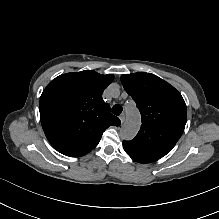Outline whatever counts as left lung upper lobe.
Masks as SVG:
<instances>
[{
    "mask_svg": "<svg viewBox=\"0 0 219 219\" xmlns=\"http://www.w3.org/2000/svg\"><path fill=\"white\" fill-rule=\"evenodd\" d=\"M121 81L142 118L136 137L123 141L124 150L136 162H155L175 146L184 131V99L168 82L151 73L124 74Z\"/></svg>",
    "mask_w": 219,
    "mask_h": 219,
    "instance_id": "left-lung-upper-lobe-1",
    "label": "left lung upper lobe"
}]
</instances>
